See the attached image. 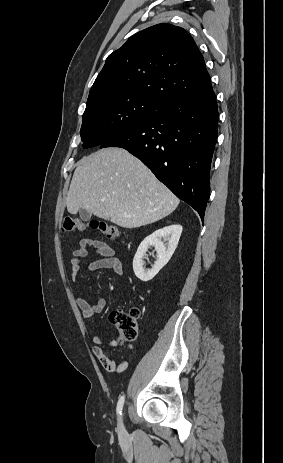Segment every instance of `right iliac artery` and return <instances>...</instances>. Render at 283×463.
<instances>
[{
	"mask_svg": "<svg viewBox=\"0 0 283 463\" xmlns=\"http://www.w3.org/2000/svg\"><path fill=\"white\" fill-rule=\"evenodd\" d=\"M124 400H125V397L123 395V396L120 397V399H119V401L117 403V414L121 415L123 405H124Z\"/></svg>",
	"mask_w": 283,
	"mask_h": 463,
	"instance_id": "82829eb1",
	"label": "right iliac artery"
}]
</instances>
